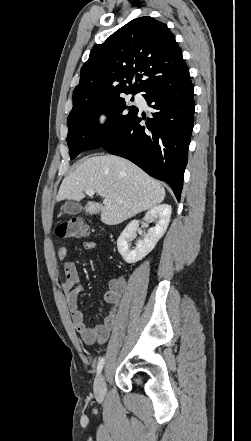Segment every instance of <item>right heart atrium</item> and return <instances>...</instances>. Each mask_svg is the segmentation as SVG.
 <instances>
[{
	"label": "right heart atrium",
	"mask_w": 251,
	"mask_h": 441,
	"mask_svg": "<svg viewBox=\"0 0 251 441\" xmlns=\"http://www.w3.org/2000/svg\"><path fill=\"white\" fill-rule=\"evenodd\" d=\"M108 120V115L105 112H100L96 117V124L98 126H103L106 124Z\"/></svg>",
	"instance_id": "obj_1"
}]
</instances>
